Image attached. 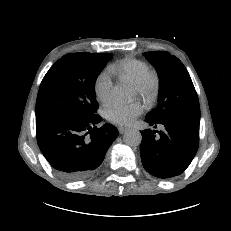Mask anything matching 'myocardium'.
I'll use <instances>...</instances> for the list:
<instances>
[{"mask_svg":"<svg viewBox=\"0 0 231 231\" xmlns=\"http://www.w3.org/2000/svg\"><path fill=\"white\" fill-rule=\"evenodd\" d=\"M161 78L155 69H148L134 84L135 90L143 98L146 104H153L159 94Z\"/></svg>","mask_w":231,"mask_h":231,"instance_id":"obj_1","label":"myocardium"}]
</instances>
